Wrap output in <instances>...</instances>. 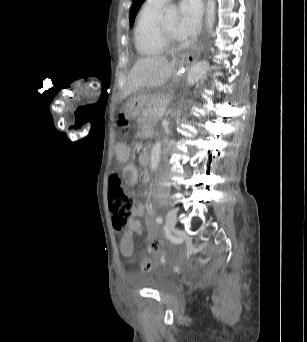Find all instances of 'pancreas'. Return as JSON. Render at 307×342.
<instances>
[{
  "instance_id": "pancreas-1",
  "label": "pancreas",
  "mask_w": 307,
  "mask_h": 342,
  "mask_svg": "<svg viewBox=\"0 0 307 342\" xmlns=\"http://www.w3.org/2000/svg\"><path fill=\"white\" fill-rule=\"evenodd\" d=\"M168 98L169 97L167 95L163 97L162 94H154V96L150 97L148 101L150 104H163ZM161 107L162 106H152L149 110H145L143 116L145 118L147 116H152V118H158V120H161V118H163V112H160Z\"/></svg>"
}]
</instances>
